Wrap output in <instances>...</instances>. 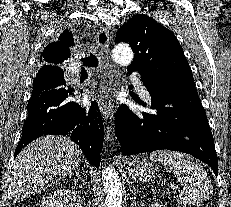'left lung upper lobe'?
<instances>
[{
    "label": "left lung upper lobe",
    "instance_id": "obj_1",
    "mask_svg": "<svg viewBox=\"0 0 231 207\" xmlns=\"http://www.w3.org/2000/svg\"><path fill=\"white\" fill-rule=\"evenodd\" d=\"M116 42H126L135 53L129 70L156 74L163 91L175 93L195 88L190 66L175 35L147 15H135L116 33Z\"/></svg>",
    "mask_w": 231,
    "mask_h": 207
}]
</instances>
